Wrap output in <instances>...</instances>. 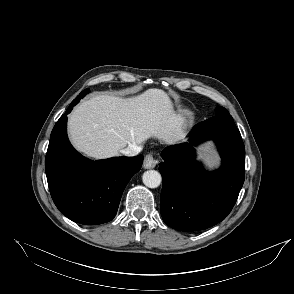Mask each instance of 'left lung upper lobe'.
I'll return each mask as SVG.
<instances>
[{
	"instance_id": "5c2ea615",
	"label": "left lung upper lobe",
	"mask_w": 294,
	"mask_h": 294,
	"mask_svg": "<svg viewBox=\"0 0 294 294\" xmlns=\"http://www.w3.org/2000/svg\"><path fill=\"white\" fill-rule=\"evenodd\" d=\"M216 112L218 115H229V112L225 108L220 106L216 108Z\"/></svg>"
}]
</instances>
